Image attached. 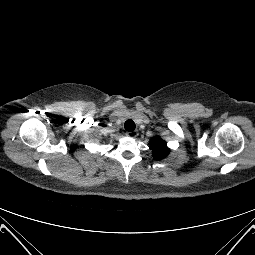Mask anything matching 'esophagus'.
Segmentation results:
<instances>
[{"label":"esophagus","mask_w":255,"mask_h":255,"mask_svg":"<svg viewBox=\"0 0 255 255\" xmlns=\"http://www.w3.org/2000/svg\"><path fill=\"white\" fill-rule=\"evenodd\" d=\"M126 135L130 138H136L138 136V132L137 131H131V132H127Z\"/></svg>","instance_id":"34e87169"}]
</instances>
